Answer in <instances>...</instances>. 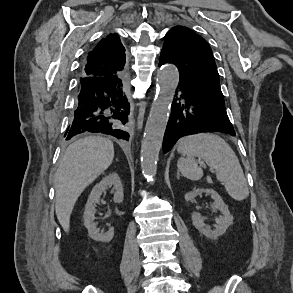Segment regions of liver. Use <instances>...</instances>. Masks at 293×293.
Returning <instances> with one entry per match:
<instances>
[{
	"instance_id": "liver-1",
	"label": "liver",
	"mask_w": 293,
	"mask_h": 293,
	"mask_svg": "<svg viewBox=\"0 0 293 293\" xmlns=\"http://www.w3.org/2000/svg\"><path fill=\"white\" fill-rule=\"evenodd\" d=\"M114 146L111 140L88 136L72 143L62 157L55 175V211L65 232L81 193L111 164Z\"/></svg>"
}]
</instances>
